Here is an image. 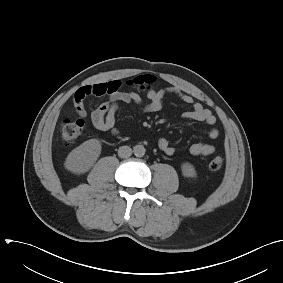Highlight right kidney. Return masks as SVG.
<instances>
[{
  "instance_id": "1",
  "label": "right kidney",
  "mask_w": 283,
  "mask_h": 283,
  "mask_svg": "<svg viewBox=\"0 0 283 283\" xmlns=\"http://www.w3.org/2000/svg\"><path fill=\"white\" fill-rule=\"evenodd\" d=\"M101 153V143L90 139L72 150L66 158L65 168L75 174L87 172Z\"/></svg>"
}]
</instances>
